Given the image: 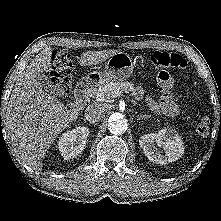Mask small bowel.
Listing matches in <instances>:
<instances>
[{"mask_svg":"<svg viewBox=\"0 0 221 221\" xmlns=\"http://www.w3.org/2000/svg\"><path fill=\"white\" fill-rule=\"evenodd\" d=\"M141 87H136L135 96L137 98L142 95ZM147 104L149 108L154 112L164 113L169 116H174L178 113V104L170 91H166L161 97L159 103H156L152 98H147Z\"/></svg>","mask_w":221,"mask_h":221,"instance_id":"1","label":"small bowel"}]
</instances>
